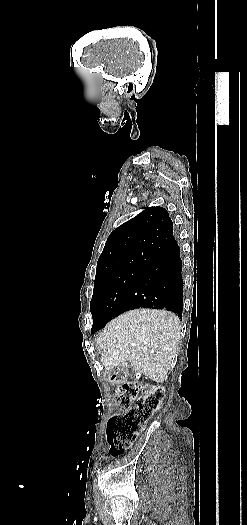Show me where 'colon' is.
<instances>
[{
  "instance_id": "5ec220e1",
  "label": "colon",
  "mask_w": 247,
  "mask_h": 525,
  "mask_svg": "<svg viewBox=\"0 0 247 525\" xmlns=\"http://www.w3.org/2000/svg\"><path fill=\"white\" fill-rule=\"evenodd\" d=\"M114 397L123 408H128L124 413L111 418L107 430L110 455L121 457L135 441L143 425L160 408L165 391L152 384L127 380L116 388Z\"/></svg>"
}]
</instances>
